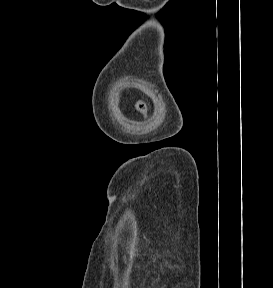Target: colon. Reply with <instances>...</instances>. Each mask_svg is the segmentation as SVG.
<instances>
[{
  "instance_id": "colon-1",
  "label": "colon",
  "mask_w": 273,
  "mask_h": 288,
  "mask_svg": "<svg viewBox=\"0 0 273 288\" xmlns=\"http://www.w3.org/2000/svg\"><path fill=\"white\" fill-rule=\"evenodd\" d=\"M136 110L142 114H145L147 112V105L144 101H138L136 103Z\"/></svg>"
}]
</instances>
